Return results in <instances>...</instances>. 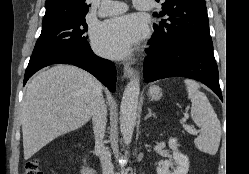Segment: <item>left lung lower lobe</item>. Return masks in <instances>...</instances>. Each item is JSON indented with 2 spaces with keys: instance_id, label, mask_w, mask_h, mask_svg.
<instances>
[{
  "instance_id": "obj_1",
  "label": "left lung lower lobe",
  "mask_w": 249,
  "mask_h": 174,
  "mask_svg": "<svg viewBox=\"0 0 249 174\" xmlns=\"http://www.w3.org/2000/svg\"><path fill=\"white\" fill-rule=\"evenodd\" d=\"M149 44L151 47L146 51L143 67L145 82L186 77L204 83L222 100L212 40L166 46L159 39L151 37Z\"/></svg>"
}]
</instances>
